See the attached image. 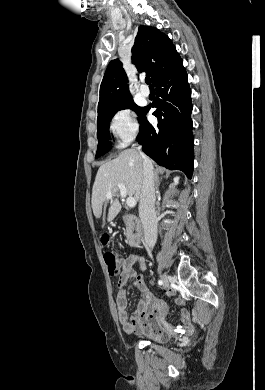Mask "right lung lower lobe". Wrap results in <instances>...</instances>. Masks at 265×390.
<instances>
[{
  "label": "right lung lower lobe",
  "instance_id": "obj_1",
  "mask_svg": "<svg viewBox=\"0 0 265 390\" xmlns=\"http://www.w3.org/2000/svg\"><path fill=\"white\" fill-rule=\"evenodd\" d=\"M157 97L147 106L139 121L137 141L145 154L160 166L181 170L190 179L193 173V135L191 90L182 60L155 82ZM151 107L157 126L146 119Z\"/></svg>",
  "mask_w": 265,
  "mask_h": 390
}]
</instances>
